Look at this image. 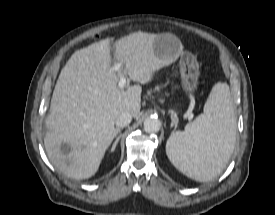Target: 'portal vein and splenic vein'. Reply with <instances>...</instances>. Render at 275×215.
<instances>
[{"mask_svg": "<svg viewBox=\"0 0 275 215\" xmlns=\"http://www.w3.org/2000/svg\"><path fill=\"white\" fill-rule=\"evenodd\" d=\"M112 71L116 72L120 78L119 82H118V87L120 89H123L126 85V82H127V78L124 76L122 70H121V64L120 63H117L115 64L112 68H111Z\"/></svg>", "mask_w": 275, "mask_h": 215, "instance_id": "portal-vein-and-splenic-vein-1", "label": "portal vein and splenic vein"}]
</instances>
